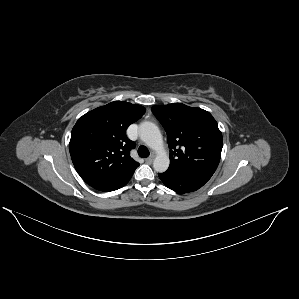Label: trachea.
Masks as SVG:
<instances>
[{
	"label": "trachea",
	"instance_id": "trachea-1",
	"mask_svg": "<svg viewBox=\"0 0 299 299\" xmlns=\"http://www.w3.org/2000/svg\"><path fill=\"white\" fill-rule=\"evenodd\" d=\"M149 154H150V152H149V150H148L145 146L141 145V146L138 148V155H139L140 157H142V158H146V157L149 156Z\"/></svg>",
	"mask_w": 299,
	"mask_h": 299
}]
</instances>
